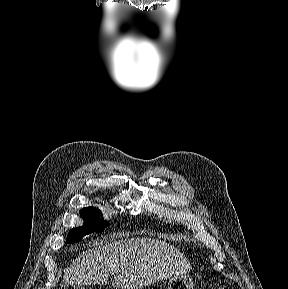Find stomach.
<instances>
[{"label":"stomach","instance_id":"stomach-1","mask_svg":"<svg viewBox=\"0 0 288 289\" xmlns=\"http://www.w3.org/2000/svg\"><path fill=\"white\" fill-rule=\"evenodd\" d=\"M192 278L186 274L174 275L168 282V289H193Z\"/></svg>","mask_w":288,"mask_h":289}]
</instances>
